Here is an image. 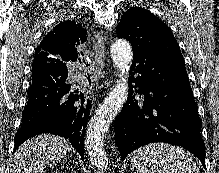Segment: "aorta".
<instances>
[{"label":"aorta","mask_w":219,"mask_h":173,"mask_svg":"<svg viewBox=\"0 0 219 173\" xmlns=\"http://www.w3.org/2000/svg\"><path fill=\"white\" fill-rule=\"evenodd\" d=\"M112 60L120 71V79L91 118L85 137V149L91 164L100 170L107 168L108 157L104 148V136L128 97V71L133 59L130 43L117 40L111 46Z\"/></svg>","instance_id":"obj_1"}]
</instances>
